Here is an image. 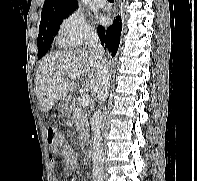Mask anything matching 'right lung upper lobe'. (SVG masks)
<instances>
[{"instance_id":"right-lung-upper-lobe-1","label":"right lung upper lobe","mask_w":197,"mask_h":181,"mask_svg":"<svg viewBox=\"0 0 197 181\" xmlns=\"http://www.w3.org/2000/svg\"><path fill=\"white\" fill-rule=\"evenodd\" d=\"M77 8V0H45L41 17L63 13Z\"/></svg>"}]
</instances>
